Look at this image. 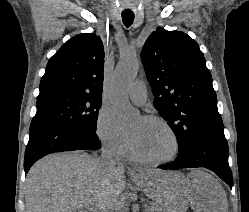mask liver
I'll return each mask as SVG.
<instances>
[{
    "mask_svg": "<svg viewBox=\"0 0 249 212\" xmlns=\"http://www.w3.org/2000/svg\"><path fill=\"white\" fill-rule=\"evenodd\" d=\"M131 180L162 212H228L226 192L202 168L181 172L137 170ZM126 188L124 166H107L85 152L49 154L30 168L25 180L27 212H113Z\"/></svg>",
    "mask_w": 249,
    "mask_h": 212,
    "instance_id": "liver-1",
    "label": "liver"
}]
</instances>
